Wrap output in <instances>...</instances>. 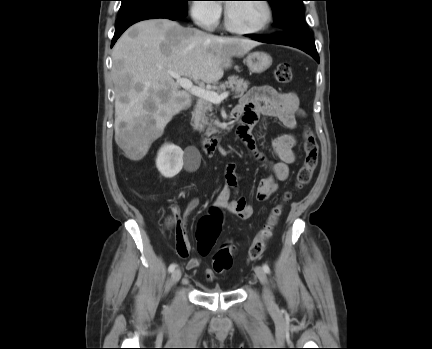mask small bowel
I'll return each instance as SVG.
<instances>
[{"label":"small bowel","instance_id":"1","mask_svg":"<svg viewBox=\"0 0 432 349\" xmlns=\"http://www.w3.org/2000/svg\"><path fill=\"white\" fill-rule=\"evenodd\" d=\"M240 118V124L236 130L238 139L249 151L255 161L264 163L270 170V174L261 179L257 185L255 197L258 201H266L277 190L279 181H285L289 176V165L296 161L295 146L296 137L293 134H282L272 142V148L276 161H270L260 152L256 146L251 133L252 128L261 116L277 119L284 127L295 129L298 118L304 117L305 113L300 108L297 95L294 92H279L271 86H259L249 89L240 99L234 109ZM200 164L199 156L194 152H187L185 156V169L193 172ZM225 184L218 193L215 207L235 215L240 220H247L253 214L252 206L242 196L232 199L236 191L239 175L234 163L227 164L224 171ZM199 205L197 197L192 198L186 205V213H192ZM177 222L176 244L178 254L186 258L190 253V244L182 225L180 211L173 209ZM200 264L198 257L188 260L186 268L196 269ZM208 280H213L214 273L208 269L205 272Z\"/></svg>","mask_w":432,"mask_h":349}]
</instances>
